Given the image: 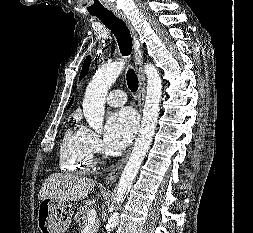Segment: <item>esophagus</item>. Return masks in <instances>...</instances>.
I'll return each mask as SVG.
<instances>
[{
	"instance_id": "34e87169",
	"label": "esophagus",
	"mask_w": 253,
	"mask_h": 233,
	"mask_svg": "<svg viewBox=\"0 0 253 233\" xmlns=\"http://www.w3.org/2000/svg\"><path fill=\"white\" fill-rule=\"evenodd\" d=\"M115 14L127 25L133 39V47H134V53H135V67H136L138 82H139L137 104H138L140 113H142L144 102H145V96H146V79H145V73L143 69L142 44L139 40L138 33L132 26L130 20L126 18V16L122 12L115 11ZM130 152H131V148L118 161V163L111 169V171L108 173V175L106 176L104 180L105 184L107 185L112 184L118 178V176L120 175L129 157Z\"/></svg>"
}]
</instances>
